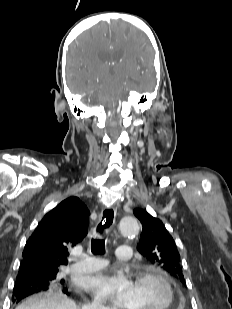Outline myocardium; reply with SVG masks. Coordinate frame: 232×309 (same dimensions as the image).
Listing matches in <instances>:
<instances>
[{
    "instance_id": "f54148a6",
    "label": "myocardium",
    "mask_w": 232,
    "mask_h": 309,
    "mask_svg": "<svg viewBox=\"0 0 232 309\" xmlns=\"http://www.w3.org/2000/svg\"><path fill=\"white\" fill-rule=\"evenodd\" d=\"M146 279L156 280L164 287L167 299L165 305L161 309H172L175 305V292L167 276L157 269H144L136 273L135 282Z\"/></svg>"
}]
</instances>
